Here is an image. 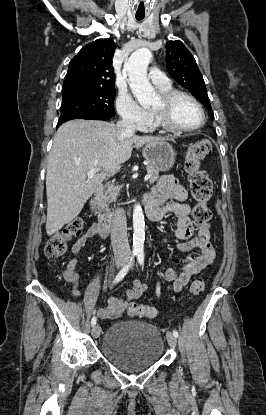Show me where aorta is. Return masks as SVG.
<instances>
[{
  "label": "aorta",
  "instance_id": "aorta-1",
  "mask_svg": "<svg viewBox=\"0 0 266 415\" xmlns=\"http://www.w3.org/2000/svg\"><path fill=\"white\" fill-rule=\"evenodd\" d=\"M152 58L148 48L134 51L124 64V70L129 77V86L133 95L142 106H148L155 99L156 93L147 78V68ZM133 249L142 251L145 239V221L142 208L139 204L133 210Z\"/></svg>",
  "mask_w": 266,
  "mask_h": 415
}]
</instances>
